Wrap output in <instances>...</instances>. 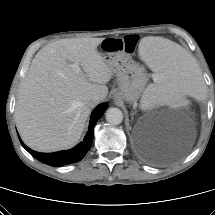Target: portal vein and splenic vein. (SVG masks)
Wrapping results in <instances>:
<instances>
[{
	"label": "portal vein and splenic vein",
	"mask_w": 215,
	"mask_h": 215,
	"mask_svg": "<svg viewBox=\"0 0 215 215\" xmlns=\"http://www.w3.org/2000/svg\"><path fill=\"white\" fill-rule=\"evenodd\" d=\"M71 67H72L75 71L81 72L80 67H79V65H78L77 63L71 64Z\"/></svg>",
	"instance_id": "portal-vein-and-splenic-vein-1"
}]
</instances>
